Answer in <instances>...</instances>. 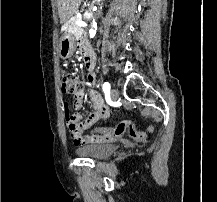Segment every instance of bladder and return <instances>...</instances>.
<instances>
[{"label": "bladder", "instance_id": "31cf9c89", "mask_svg": "<svg viewBox=\"0 0 217 202\" xmlns=\"http://www.w3.org/2000/svg\"><path fill=\"white\" fill-rule=\"evenodd\" d=\"M116 145L109 142L94 143L84 148H78L77 153L87 157L103 158L112 155Z\"/></svg>", "mask_w": 217, "mask_h": 202}]
</instances>
